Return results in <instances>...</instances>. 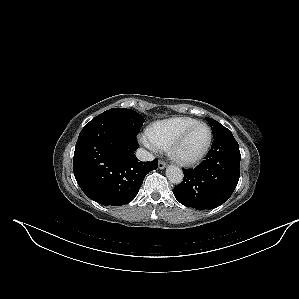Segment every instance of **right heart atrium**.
Instances as JSON below:
<instances>
[{
	"label": "right heart atrium",
	"instance_id": "1",
	"mask_svg": "<svg viewBox=\"0 0 299 299\" xmlns=\"http://www.w3.org/2000/svg\"><path fill=\"white\" fill-rule=\"evenodd\" d=\"M142 143L150 150L154 151L157 149V147L150 141L147 136L142 137Z\"/></svg>",
	"mask_w": 299,
	"mask_h": 299
}]
</instances>
